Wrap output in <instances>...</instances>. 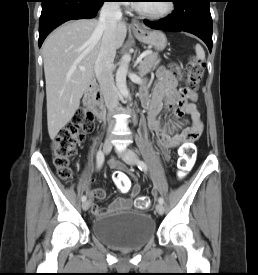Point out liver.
<instances>
[{"mask_svg":"<svg viewBox=\"0 0 258 275\" xmlns=\"http://www.w3.org/2000/svg\"><path fill=\"white\" fill-rule=\"evenodd\" d=\"M126 35V23L119 22L117 49L123 45ZM102 36L98 20L80 19L56 29L43 44L47 125L52 140L79 108L80 99L94 76Z\"/></svg>","mask_w":258,"mask_h":275,"instance_id":"obj_1","label":"liver"}]
</instances>
